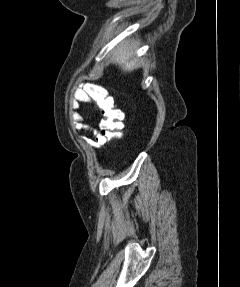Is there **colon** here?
Listing matches in <instances>:
<instances>
[{"label":"colon","instance_id":"colon-1","mask_svg":"<svg viewBox=\"0 0 240 287\" xmlns=\"http://www.w3.org/2000/svg\"><path fill=\"white\" fill-rule=\"evenodd\" d=\"M91 96L100 109L103 119L100 123L101 134L106 140H115L122 137V112L114 106L113 100L98 90H91Z\"/></svg>","mask_w":240,"mask_h":287}]
</instances>
